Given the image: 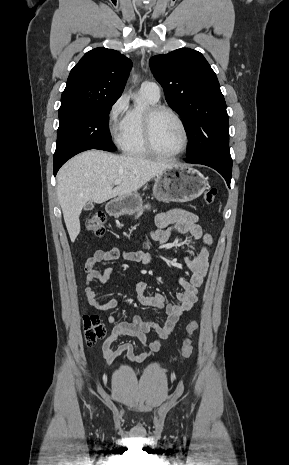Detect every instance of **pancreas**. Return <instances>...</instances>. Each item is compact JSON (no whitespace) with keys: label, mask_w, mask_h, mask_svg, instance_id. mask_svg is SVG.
Returning <instances> with one entry per match:
<instances>
[{"label":"pancreas","mask_w":289,"mask_h":465,"mask_svg":"<svg viewBox=\"0 0 289 465\" xmlns=\"http://www.w3.org/2000/svg\"><path fill=\"white\" fill-rule=\"evenodd\" d=\"M144 209H150V205L147 204L145 205L144 207H141L138 211H137V215L135 216V218H139L142 214H143V211Z\"/></svg>","instance_id":"1"}]
</instances>
